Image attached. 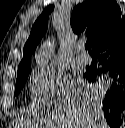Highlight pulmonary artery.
<instances>
[{
    "label": "pulmonary artery",
    "mask_w": 125,
    "mask_h": 128,
    "mask_svg": "<svg viewBox=\"0 0 125 128\" xmlns=\"http://www.w3.org/2000/svg\"><path fill=\"white\" fill-rule=\"evenodd\" d=\"M77 61L79 63H89L91 61V58L90 56L85 52L84 50V44L83 43H80L78 45V54H77Z\"/></svg>",
    "instance_id": "1"
}]
</instances>
